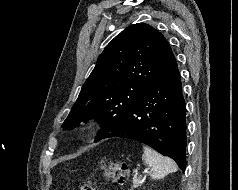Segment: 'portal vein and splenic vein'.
Here are the masks:
<instances>
[{
	"mask_svg": "<svg viewBox=\"0 0 238 190\" xmlns=\"http://www.w3.org/2000/svg\"><path fill=\"white\" fill-rule=\"evenodd\" d=\"M136 172H137V171H136ZM144 173H147V170H145Z\"/></svg>",
	"mask_w": 238,
	"mask_h": 190,
	"instance_id": "18ae733b",
	"label": "portal vein and splenic vein"
}]
</instances>
